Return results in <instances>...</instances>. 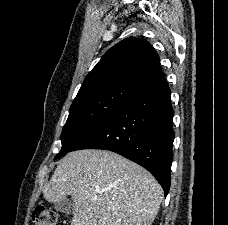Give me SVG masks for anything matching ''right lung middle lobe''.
Masks as SVG:
<instances>
[{
	"label": "right lung middle lobe",
	"mask_w": 228,
	"mask_h": 225,
	"mask_svg": "<svg viewBox=\"0 0 228 225\" xmlns=\"http://www.w3.org/2000/svg\"><path fill=\"white\" fill-rule=\"evenodd\" d=\"M139 88L110 82L88 88L77 94L62 132V148L55 159L70 152L71 148L118 107L132 97Z\"/></svg>",
	"instance_id": "1"
}]
</instances>
